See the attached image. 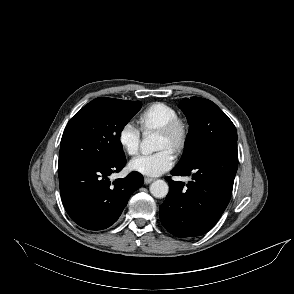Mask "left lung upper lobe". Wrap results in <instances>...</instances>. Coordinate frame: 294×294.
Instances as JSON below:
<instances>
[{"instance_id": "5c2ea615", "label": "left lung upper lobe", "mask_w": 294, "mask_h": 294, "mask_svg": "<svg viewBox=\"0 0 294 294\" xmlns=\"http://www.w3.org/2000/svg\"><path fill=\"white\" fill-rule=\"evenodd\" d=\"M180 108L186 115L189 132L176 167H189L213 147L237 141L234 124L212 101L199 97L184 98Z\"/></svg>"}]
</instances>
